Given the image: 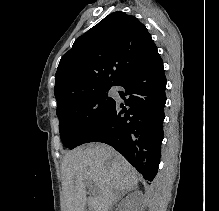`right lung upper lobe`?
Returning <instances> with one entry per match:
<instances>
[{
    "label": "right lung upper lobe",
    "instance_id": "right-lung-upper-lobe-1",
    "mask_svg": "<svg viewBox=\"0 0 219 211\" xmlns=\"http://www.w3.org/2000/svg\"><path fill=\"white\" fill-rule=\"evenodd\" d=\"M158 56L145 25L124 12L111 13L62 56L55 75L57 103L116 86Z\"/></svg>",
    "mask_w": 219,
    "mask_h": 211
}]
</instances>
